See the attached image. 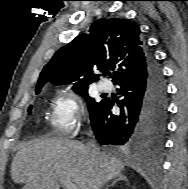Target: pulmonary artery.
<instances>
[{"label": "pulmonary artery", "instance_id": "pulmonary-artery-1", "mask_svg": "<svg viewBox=\"0 0 188 189\" xmlns=\"http://www.w3.org/2000/svg\"><path fill=\"white\" fill-rule=\"evenodd\" d=\"M98 88L100 91H109L111 89V85L107 81H100L98 84Z\"/></svg>", "mask_w": 188, "mask_h": 189}]
</instances>
